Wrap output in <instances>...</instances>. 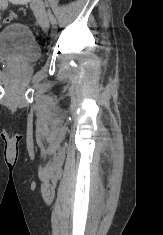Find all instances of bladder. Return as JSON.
Returning a JSON list of instances; mask_svg holds the SVG:
<instances>
[{
	"label": "bladder",
	"instance_id": "1",
	"mask_svg": "<svg viewBox=\"0 0 163 235\" xmlns=\"http://www.w3.org/2000/svg\"><path fill=\"white\" fill-rule=\"evenodd\" d=\"M40 56V47L26 24L11 23L0 29V60L29 65Z\"/></svg>",
	"mask_w": 163,
	"mask_h": 235
}]
</instances>
